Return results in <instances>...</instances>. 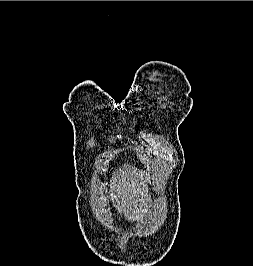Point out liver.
Masks as SVG:
<instances>
[{"label": "liver", "mask_w": 253, "mask_h": 266, "mask_svg": "<svg viewBox=\"0 0 253 266\" xmlns=\"http://www.w3.org/2000/svg\"><path fill=\"white\" fill-rule=\"evenodd\" d=\"M127 179V181H126ZM133 173H124L121 177V190L119 191L118 195L121 199L120 206L118 207V210H123V213L125 217L130 220L135 218V220H138L140 216L138 215H131V212L133 211L132 206L136 204V196H139L141 191L138 189L136 190L133 185Z\"/></svg>", "instance_id": "1"}]
</instances>
